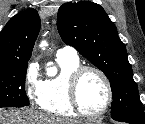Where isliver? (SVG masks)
<instances>
[{"label": "liver", "instance_id": "obj_1", "mask_svg": "<svg viewBox=\"0 0 145 124\" xmlns=\"http://www.w3.org/2000/svg\"><path fill=\"white\" fill-rule=\"evenodd\" d=\"M0 124H78V122L31 111L0 109Z\"/></svg>", "mask_w": 145, "mask_h": 124}]
</instances>
